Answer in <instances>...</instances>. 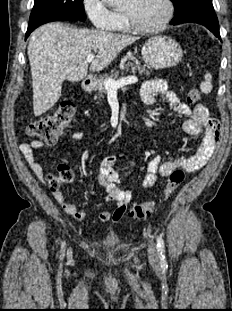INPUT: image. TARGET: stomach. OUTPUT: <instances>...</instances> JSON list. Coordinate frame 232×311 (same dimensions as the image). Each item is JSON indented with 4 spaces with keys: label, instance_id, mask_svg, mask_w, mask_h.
I'll return each mask as SVG.
<instances>
[{
    "label": "stomach",
    "instance_id": "1",
    "mask_svg": "<svg viewBox=\"0 0 232 311\" xmlns=\"http://www.w3.org/2000/svg\"><path fill=\"white\" fill-rule=\"evenodd\" d=\"M182 56L180 45L168 36L152 37L142 47L145 64L154 69L173 67L181 61Z\"/></svg>",
    "mask_w": 232,
    "mask_h": 311
}]
</instances>
